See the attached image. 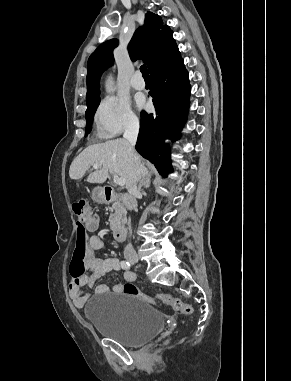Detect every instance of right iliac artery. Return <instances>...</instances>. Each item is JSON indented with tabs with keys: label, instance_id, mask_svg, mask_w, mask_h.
I'll use <instances>...</instances> for the list:
<instances>
[{
	"label": "right iliac artery",
	"instance_id": "right-iliac-artery-1",
	"mask_svg": "<svg viewBox=\"0 0 291 381\" xmlns=\"http://www.w3.org/2000/svg\"><path fill=\"white\" fill-rule=\"evenodd\" d=\"M121 267L124 270L130 269V263L128 261H121Z\"/></svg>",
	"mask_w": 291,
	"mask_h": 381
}]
</instances>
